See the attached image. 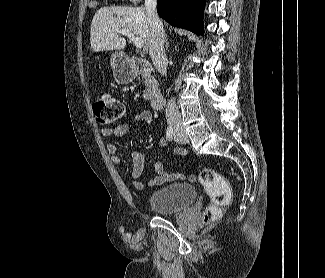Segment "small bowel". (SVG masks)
I'll return each mask as SVG.
<instances>
[{
    "label": "small bowel",
    "instance_id": "c3829d8e",
    "mask_svg": "<svg viewBox=\"0 0 325 278\" xmlns=\"http://www.w3.org/2000/svg\"><path fill=\"white\" fill-rule=\"evenodd\" d=\"M135 122L137 123H145L150 125L152 123V114L147 111L143 110L138 112L134 117ZM129 130V124L127 122L120 123L115 128H103L101 133L105 137H112V136H122L125 135ZM159 145L162 147L170 148L173 153L178 155H186L187 152L185 149L178 148V147H170L168 142L165 139L159 140ZM107 152L111 155L112 162L116 165L121 164L122 159L118 155V146L115 143H108L107 144ZM132 155V169H131V183L133 187L137 190H143L144 184L139 181V177L141 176L143 169H144V159L143 156L137 152L133 151ZM155 176L149 181V187H156L164 185L168 182H172L175 180H180L184 176L180 173H173L168 174L164 171V165L162 162H157L154 166Z\"/></svg>",
    "mask_w": 325,
    "mask_h": 278
}]
</instances>
